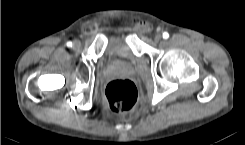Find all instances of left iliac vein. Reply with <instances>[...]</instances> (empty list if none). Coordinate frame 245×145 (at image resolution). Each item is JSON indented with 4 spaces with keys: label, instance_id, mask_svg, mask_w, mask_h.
Instances as JSON below:
<instances>
[{
    "label": "left iliac vein",
    "instance_id": "obj_1",
    "mask_svg": "<svg viewBox=\"0 0 245 145\" xmlns=\"http://www.w3.org/2000/svg\"><path fill=\"white\" fill-rule=\"evenodd\" d=\"M161 39H162V36L160 34H157L154 37L155 42H159Z\"/></svg>",
    "mask_w": 245,
    "mask_h": 145
}]
</instances>
